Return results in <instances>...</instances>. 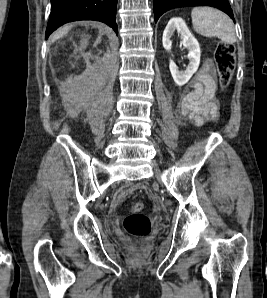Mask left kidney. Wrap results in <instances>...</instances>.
<instances>
[{
	"instance_id": "obj_1",
	"label": "left kidney",
	"mask_w": 267,
	"mask_h": 298,
	"mask_svg": "<svg viewBox=\"0 0 267 298\" xmlns=\"http://www.w3.org/2000/svg\"><path fill=\"white\" fill-rule=\"evenodd\" d=\"M175 31L180 34L182 45L189 51L187 56L189 59V64L185 71H179L177 65L173 60L170 59L169 69L174 82L178 86H183L197 71L200 64L201 51L198 41L188 29L185 21L181 18H172L169 20L162 37L163 47L165 50L169 51L171 49V37Z\"/></svg>"
}]
</instances>
